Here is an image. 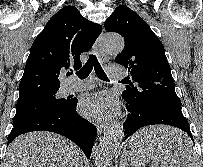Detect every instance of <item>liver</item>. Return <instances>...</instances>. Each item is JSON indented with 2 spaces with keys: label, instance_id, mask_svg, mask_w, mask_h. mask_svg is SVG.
<instances>
[{
  "label": "liver",
  "instance_id": "obj_1",
  "mask_svg": "<svg viewBox=\"0 0 203 167\" xmlns=\"http://www.w3.org/2000/svg\"><path fill=\"white\" fill-rule=\"evenodd\" d=\"M180 136L186 138L175 128L150 127L132 136L127 147L153 138L160 142L165 158L171 160L180 149L176 144ZM81 163L77 146L68 139L50 132H30L11 142L3 167H81Z\"/></svg>",
  "mask_w": 203,
  "mask_h": 167
}]
</instances>
